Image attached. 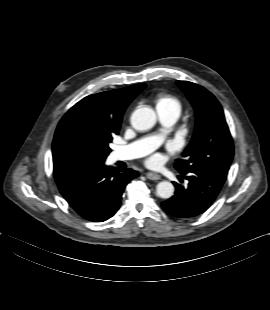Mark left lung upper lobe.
Wrapping results in <instances>:
<instances>
[{
  "mask_svg": "<svg viewBox=\"0 0 270 310\" xmlns=\"http://www.w3.org/2000/svg\"><path fill=\"white\" fill-rule=\"evenodd\" d=\"M196 113L193 138L178 160L175 168L180 173L202 169L208 173L226 176L233 159V141L223 109L217 99L205 88L188 82L177 81Z\"/></svg>",
  "mask_w": 270,
  "mask_h": 310,
  "instance_id": "1",
  "label": "left lung upper lobe"
}]
</instances>
